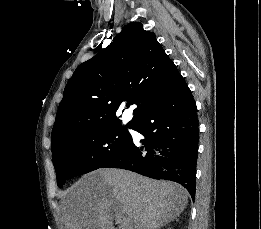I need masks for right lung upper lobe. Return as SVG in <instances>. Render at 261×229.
Instances as JSON below:
<instances>
[{"label":"right lung upper lobe","instance_id":"obj_1","mask_svg":"<svg viewBox=\"0 0 261 229\" xmlns=\"http://www.w3.org/2000/svg\"><path fill=\"white\" fill-rule=\"evenodd\" d=\"M182 78L155 38L139 22L124 26L108 47L82 63L68 80L52 130L54 150L77 129L111 126L119 130L116 111L125 101L137 105V122Z\"/></svg>","mask_w":261,"mask_h":229}]
</instances>
